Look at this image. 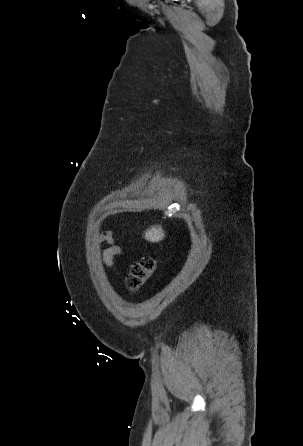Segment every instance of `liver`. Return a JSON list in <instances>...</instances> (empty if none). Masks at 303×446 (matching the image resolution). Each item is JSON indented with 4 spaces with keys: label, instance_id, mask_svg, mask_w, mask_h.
<instances>
[{
    "label": "liver",
    "instance_id": "6515ba94",
    "mask_svg": "<svg viewBox=\"0 0 303 446\" xmlns=\"http://www.w3.org/2000/svg\"><path fill=\"white\" fill-rule=\"evenodd\" d=\"M165 237V232L161 226H151L148 230H146L144 238L149 242H159L163 240Z\"/></svg>",
    "mask_w": 303,
    "mask_h": 446
}]
</instances>
